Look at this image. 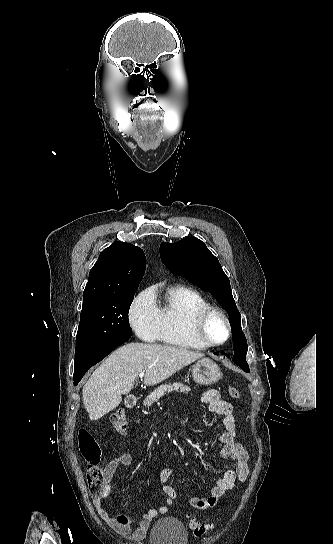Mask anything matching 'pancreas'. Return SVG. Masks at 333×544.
Masks as SVG:
<instances>
[{
	"mask_svg": "<svg viewBox=\"0 0 333 544\" xmlns=\"http://www.w3.org/2000/svg\"><path fill=\"white\" fill-rule=\"evenodd\" d=\"M179 390L182 393H187L191 389L190 387L183 385L180 382L161 385L145 398L143 404L147 407H150L154 402H157L164 394Z\"/></svg>",
	"mask_w": 333,
	"mask_h": 544,
	"instance_id": "cf45deb5",
	"label": "pancreas"
}]
</instances>
